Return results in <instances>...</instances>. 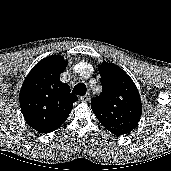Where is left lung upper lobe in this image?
Listing matches in <instances>:
<instances>
[{
	"label": "left lung upper lobe",
	"instance_id": "left-lung-upper-lobe-1",
	"mask_svg": "<svg viewBox=\"0 0 171 171\" xmlns=\"http://www.w3.org/2000/svg\"><path fill=\"white\" fill-rule=\"evenodd\" d=\"M99 73L102 93L92 98V111L111 133L129 134L137 127L142 113L136 85L124 70L113 63H102Z\"/></svg>",
	"mask_w": 171,
	"mask_h": 171
}]
</instances>
